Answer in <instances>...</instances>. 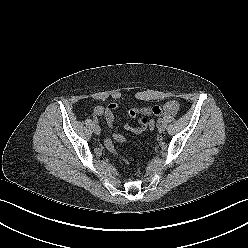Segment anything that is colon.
I'll list each match as a JSON object with an SVG mask.
<instances>
[{"label":"colon","instance_id":"obj_1","mask_svg":"<svg viewBox=\"0 0 248 248\" xmlns=\"http://www.w3.org/2000/svg\"><path fill=\"white\" fill-rule=\"evenodd\" d=\"M147 126H148V129L153 130V129L155 128V126H156V123H155V121H154L153 119H149V120H148ZM113 139H114L116 142H118V143H124V142H125V138H124V136H122L121 134H114V135H113ZM106 148H107V150H108L110 153H112V154H114V155H117V153H116V151H115V148H114V145H113V142H112L110 139H108V140L106 141ZM122 160H123L124 162H126V163L129 162V160H128V159H125V158H123Z\"/></svg>","mask_w":248,"mask_h":248}]
</instances>
